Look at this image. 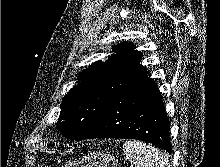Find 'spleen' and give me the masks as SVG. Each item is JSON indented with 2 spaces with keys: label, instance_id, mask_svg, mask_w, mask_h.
Segmentation results:
<instances>
[{
  "label": "spleen",
  "instance_id": "spleen-1",
  "mask_svg": "<svg viewBox=\"0 0 220 167\" xmlns=\"http://www.w3.org/2000/svg\"><path fill=\"white\" fill-rule=\"evenodd\" d=\"M123 150L128 160L133 161L135 167H170L167 155L152 145L144 142L128 140Z\"/></svg>",
  "mask_w": 220,
  "mask_h": 167
}]
</instances>
